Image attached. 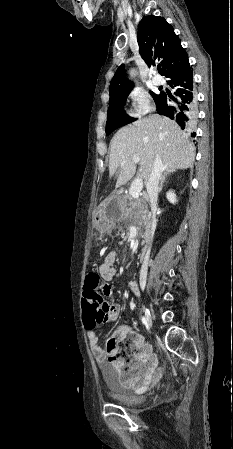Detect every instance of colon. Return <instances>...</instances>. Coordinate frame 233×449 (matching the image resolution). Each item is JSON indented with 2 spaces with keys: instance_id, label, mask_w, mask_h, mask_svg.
<instances>
[{
  "instance_id": "1",
  "label": "colon",
  "mask_w": 233,
  "mask_h": 449,
  "mask_svg": "<svg viewBox=\"0 0 233 449\" xmlns=\"http://www.w3.org/2000/svg\"><path fill=\"white\" fill-rule=\"evenodd\" d=\"M102 281L99 273L90 271L86 274L84 281V293L81 299L82 312L81 317L84 328H101L104 308L100 305L102 300L101 290ZM124 343L131 346L133 337L131 333L123 329L116 337L110 339L107 343V352L111 361H117L119 357V344Z\"/></svg>"
}]
</instances>
